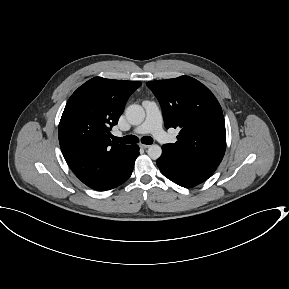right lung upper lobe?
<instances>
[{"label":"right lung upper lobe","instance_id":"1","mask_svg":"<svg viewBox=\"0 0 289 289\" xmlns=\"http://www.w3.org/2000/svg\"><path fill=\"white\" fill-rule=\"evenodd\" d=\"M140 85L95 77L80 86L65 106L58 129L61 151L75 175L90 188L108 186L127 159L131 145L111 143L110 129Z\"/></svg>","mask_w":289,"mask_h":289}]
</instances>
